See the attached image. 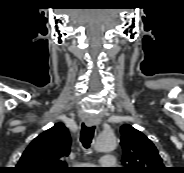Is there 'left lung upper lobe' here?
Wrapping results in <instances>:
<instances>
[{"instance_id": "left-lung-upper-lobe-1", "label": "left lung upper lobe", "mask_w": 184, "mask_h": 173, "mask_svg": "<svg viewBox=\"0 0 184 173\" xmlns=\"http://www.w3.org/2000/svg\"><path fill=\"white\" fill-rule=\"evenodd\" d=\"M121 146L123 148L121 173H165L161 157L142 132L125 124L121 127Z\"/></svg>"}]
</instances>
